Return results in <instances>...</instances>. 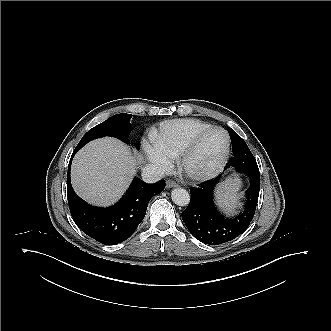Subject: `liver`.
<instances>
[{"instance_id":"1","label":"liver","mask_w":331,"mask_h":331,"mask_svg":"<svg viewBox=\"0 0 331 331\" xmlns=\"http://www.w3.org/2000/svg\"><path fill=\"white\" fill-rule=\"evenodd\" d=\"M143 156L121 141L105 137L84 146L74 157L71 183L75 192L90 204L109 206L121 198Z\"/></svg>"}]
</instances>
